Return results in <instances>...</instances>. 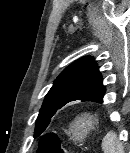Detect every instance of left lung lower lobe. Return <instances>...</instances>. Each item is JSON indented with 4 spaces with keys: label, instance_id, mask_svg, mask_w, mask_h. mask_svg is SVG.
<instances>
[{
    "label": "left lung lower lobe",
    "instance_id": "0a47b994",
    "mask_svg": "<svg viewBox=\"0 0 130 153\" xmlns=\"http://www.w3.org/2000/svg\"><path fill=\"white\" fill-rule=\"evenodd\" d=\"M102 98H103V97H102ZM77 100H78V99H77ZM71 101H74V100H71ZM68 102H70V101H67V103H68ZM100 102H102V99H101V101H100ZM67 103H66V104H67Z\"/></svg>",
    "mask_w": 130,
    "mask_h": 153
}]
</instances>
